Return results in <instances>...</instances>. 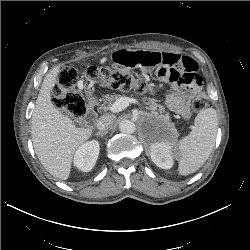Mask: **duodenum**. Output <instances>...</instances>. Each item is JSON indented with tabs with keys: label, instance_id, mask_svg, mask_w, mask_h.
<instances>
[{
	"label": "duodenum",
	"instance_id": "1",
	"mask_svg": "<svg viewBox=\"0 0 250 250\" xmlns=\"http://www.w3.org/2000/svg\"><path fill=\"white\" fill-rule=\"evenodd\" d=\"M94 107H95L94 100L89 99L87 101L86 112H85V113H88V119H87L88 122H90L92 120V118L94 117Z\"/></svg>",
	"mask_w": 250,
	"mask_h": 250
}]
</instances>
